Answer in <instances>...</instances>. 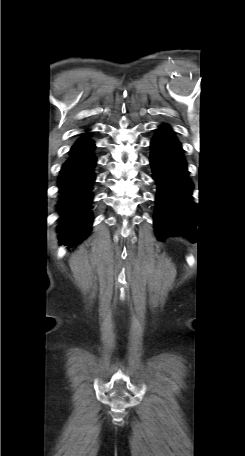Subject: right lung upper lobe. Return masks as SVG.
Wrapping results in <instances>:
<instances>
[{
  "instance_id": "obj_1",
  "label": "right lung upper lobe",
  "mask_w": 245,
  "mask_h": 456,
  "mask_svg": "<svg viewBox=\"0 0 245 456\" xmlns=\"http://www.w3.org/2000/svg\"><path fill=\"white\" fill-rule=\"evenodd\" d=\"M88 134V133H87ZM87 137L86 136H83L80 138V140H83V139H86Z\"/></svg>"
}]
</instances>
